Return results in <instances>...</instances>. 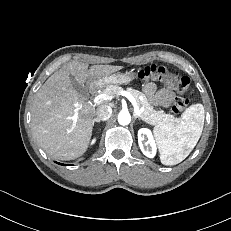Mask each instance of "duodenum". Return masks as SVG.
Returning a JSON list of instances; mask_svg holds the SVG:
<instances>
[{
	"mask_svg": "<svg viewBox=\"0 0 231 231\" xmlns=\"http://www.w3.org/2000/svg\"><path fill=\"white\" fill-rule=\"evenodd\" d=\"M89 89L92 90V89H93V85H90V86H89Z\"/></svg>",
	"mask_w": 231,
	"mask_h": 231,
	"instance_id": "1",
	"label": "duodenum"
}]
</instances>
